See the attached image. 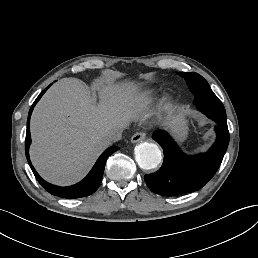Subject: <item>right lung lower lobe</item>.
<instances>
[{
    "label": "right lung lower lobe",
    "mask_w": 258,
    "mask_h": 258,
    "mask_svg": "<svg viewBox=\"0 0 258 258\" xmlns=\"http://www.w3.org/2000/svg\"><path fill=\"white\" fill-rule=\"evenodd\" d=\"M49 87L50 86H48L46 89H44L40 93V95L37 97V99L31 106L30 111H29L28 120H27L26 140H25V152H26V157H27L28 163H29L36 179L38 180V182L50 194L59 196L62 198H66V199H75V198L89 196L92 193H94L97 190V188L99 187V185L101 184L106 160L112 153H114L118 150V147L112 146V147H109L108 149H106L101 154V156L98 158V160L96 161L95 165L93 166V168L91 169L89 174L82 181H80L79 183H77L75 185L68 186V187H60V186L52 185V184L46 182L45 180H43L39 176V174L36 172V170L32 166L31 161L29 159L28 151H29V146L31 143L30 117H31V113L33 111L34 106L36 105V103L39 101V99L42 97V95L45 93V91Z\"/></svg>",
    "instance_id": "1"
}]
</instances>
